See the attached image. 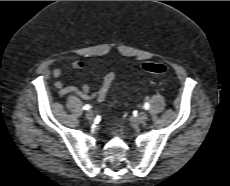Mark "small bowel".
Here are the masks:
<instances>
[{"instance_id": "small-bowel-1", "label": "small bowel", "mask_w": 230, "mask_h": 186, "mask_svg": "<svg viewBox=\"0 0 230 186\" xmlns=\"http://www.w3.org/2000/svg\"><path fill=\"white\" fill-rule=\"evenodd\" d=\"M70 67L74 70H81L85 67V63L82 60H74L70 63ZM63 70L61 68H55L52 72L54 78L61 77ZM112 74H108L102 81L100 87L97 91L92 92L91 88L88 85H83L81 87H77L74 85H64L62 81L58 80L55 82V88L58 90L61 96L68 94H75L82 99L91 100L97 99L99 101L103 100L105 95L108 92L110 87L109 76Z\"/></svg>"}]
</instances>
